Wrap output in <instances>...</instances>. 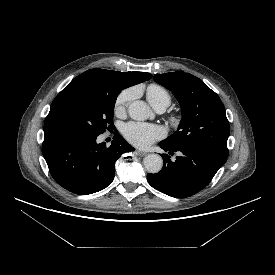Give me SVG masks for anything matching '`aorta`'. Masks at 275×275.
<instances>
[{
    "label": "aorta",
    "mask_w": 275,
    "mask_h": 275,
    "mask_svg": "<svg viewBox=\"0 0 275 275\" xmlns=\"http://www.w3.org/2000/svg\"><path fill=\"white\" fill-rule=\"evenodd\" d=\"M128 113L133 120L142 121L150 117L151 109L144 101L136 100L129 105ZM143 163L149 173H158L163 166L162 157L158 154L147 155Z\"/></svg>",
    "instance_id": "aorta-1"
}]
</instances>
